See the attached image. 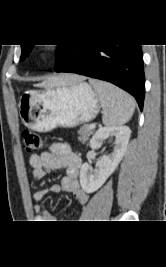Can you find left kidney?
<instances>
[{
    "label": "left kidney",
    "instance_id": "1",
    "mask_svg": "<svg viewBox=\"0 0 166 267\" xmlns=\"http://www.w3.org/2000/svg\"><path fill=\"white\" fill-rule=\"evenodd\" d=\"M131 130L127 126H110L97 130L90 140L92 150L100 149L104 140L115 137L114 148L110 154H104L96 163L95 170H92L88 163H84L80 169V184L87 193L98 190L115 171L122 160L129 142Z\"/></svg>",
    "mask_w": 166,
    "mask_h": 267
}]
</instances>
